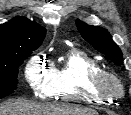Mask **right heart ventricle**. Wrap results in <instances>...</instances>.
Segmentation results:
<instances>
[{
	"label": "right heart ventricle",
	"mask_w": 131,
	"mask_h": 115,
	"mask_svg": "<svg viewBox=\"0 0 131 115\" xmlns=\"http://www.w3.org/2000/svg\"><path fill=\"white\" fill-rule=\"evenodd\" d=\"M53 70L56 81L55 89L50 95L52 98L96 105L112 100V96L99 93L91 87L92 75L102 69L89 54L78 49H70Z\"/></svg>",
	"instance_id": "1"
}]
</instances>
